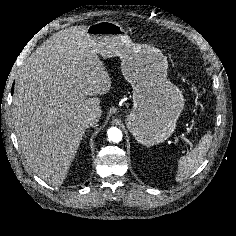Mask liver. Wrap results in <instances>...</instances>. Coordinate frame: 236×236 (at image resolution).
<instances>
[{
    "label": "liver",
    "instance_id": "obj_1",
    "mask_svg": "<svg viewBox=\"0 0 236 236\" xmlns=\"http://www.w3.org/2000/svg\"><path fill=\"white\" fill-rule=\"evenodd\" d=\"M87 26L53 34L22 64L13 97L19 146L33 171L61 185L85 133L82 117L101 116L100 98L111 78Z\"/></svg>",
    "mask_w": 236,
    "mask_h": 236
}]
</instances>
